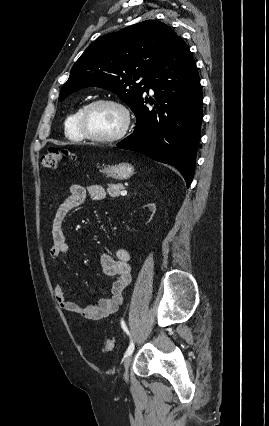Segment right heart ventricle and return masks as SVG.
I'll use <instances>...</instances> for the list:
<instances>
[{
    "mask_svg": "<svg viewBox=\"0 0 269 426\" xmlns=\"http://www.w3.org/2000/svg\"><path fill=\"white\" fill-rule=\"evenodd\" d=\"M83 105L78 106L66 119L65 121V133L66 136L72 140L81 141L84 136L79 127V117L83 109Z\"/></svg>",
    "mask_w": 269,
    "mask_h": 426,
    "instance_id": "obj_1",
    "label": "right heart ventricle"
}]
</instances>
